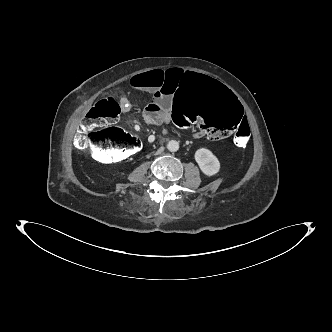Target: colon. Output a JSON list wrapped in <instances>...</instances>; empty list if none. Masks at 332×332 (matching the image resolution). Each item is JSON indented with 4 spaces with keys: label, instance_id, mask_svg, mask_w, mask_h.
<instances>
[{
    "label": "colon",
    "instance_id": "colon-1",
    "mask_svg": "<svg viewBox=\"0 0 332 332\" xmlns=\"http://www.w3.org/2000/svg\"><path fill=\"white\" fill-rule=\"evenodd\" d=\"M121 102L113 97L98 101L87 113L76 138L78 145L89 148L103 163H112L137 154L140 140L121 129L103 127L117 119ZM243 108L233 93L221 83L202 73H192L180 80L171 101L170 116L180 131L201 133L214 141L234 135L237 147H245L250 127L241 121ZM241 121V122H240Z\"/></svg>",
    "mask_w": 332,
    "mask_h": 332
}]
</instances>
